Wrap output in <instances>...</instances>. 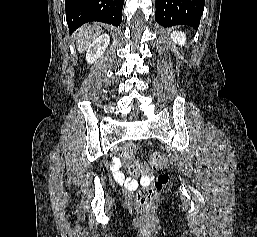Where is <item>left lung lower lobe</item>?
Returning <instances> with one entry per match:
<instances>
[{
    "mask_svg": "<svg viewBox=\"0 0 257 237\" xmlns=\"http://www.w3.org/2000/svg\"><path fill=\"white\" fill-rule=\"evenodd\" d=\"M205 0H156V21L164 26L189 25L198 29Z\"/></svg>",
    "mask_w": 257,
    "mask_h": 237,
    "instance_id": "obj_1",
    "label": "left lung lower lobe"
}]
</instances>
